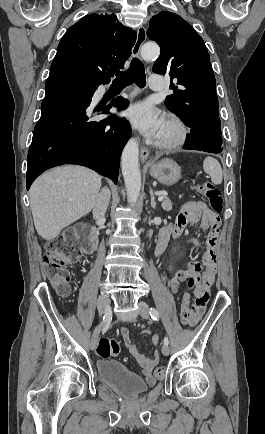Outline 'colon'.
I'll list each match as a JSON object with an SVG mask.
<instances>
[{"mask_svg": "<svg viewBox=\"0 0 265 434\" xmlns=\"http://www.w3.org/2000/svg\"><path fill=\"white\" fill-rule=\"evenodd\" d=\"M198 188L214 212H223L222 194L212 183H200ZM79 257V250L76 247V240L71 230L67 231L65 237L57 236L49 242L46 257L43 260L42 274L45 278L52 280L55 290L62 298L67 297L70 292L71 274L68 267L76 263ZM187 285L189 288L197 286L196 278H189ZM190 302L191 298L186 293L180 313L181 323L185 327L192 325L196 321V319L190 318ZM96 352L101 360H108L111 356L119 355L120 344L113 338L102 337L97 344ZM163 370V364H158L154 374L156 376L161 375Z\"/></svg>", "mask_w": 265, "mask_h": 434, "instance_id": "obj_1", "label": "colon"}]
</instances>
